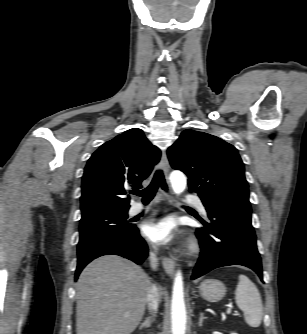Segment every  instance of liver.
<instances>
[{
	"label": "liver",
	"instance_id": "6515ba94",
	"mask_svg": "<svg viewBox=\"0 0 307 334\" xmlns=\"http://www.w3.org/2000/svg\"><path fill=\"white\" fill-rule=\"evenodd\" d=\"M150 287L148 275L132 261L117 255L95 259L76 284V333L131 334L144 315Z\"/></svg>",
	"mask_w": 307,
	"mask_h": 334
}]
</instances>
